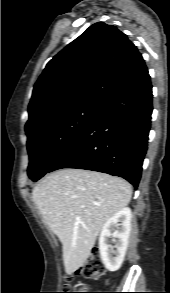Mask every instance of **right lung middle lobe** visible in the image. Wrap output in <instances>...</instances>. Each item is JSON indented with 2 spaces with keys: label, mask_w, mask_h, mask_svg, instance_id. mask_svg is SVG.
Returning a JSON list of instances; mask_svg holds the SVG:
<instances>
[{
  "label": "right lung middle lobe",
  "mask_w": 170,
  "mask_h": 293,
  "mask_svg": "<svg viewBox=\"0 0 170 293\" xmlns=\"http://www.w3.org/2000/svg\"><path fill=\"white\" fill-rule=\"evenodd\" d=\"M99 108L96 104H80L25 130L30 179L37 181L48 173L54 161L87 130Z\"/></svg>",
  "instance_id": "1"
}]
</instances>
